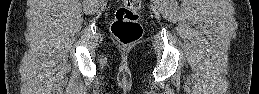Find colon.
I'll list each match as a JSON object with an SVG mask.
<instances>
[{"mask_svg": "<svg viewBox=\"0 0 259 94\" xmlns=\"http://www.w3.org/2000/svg\"><path fill=\"white\" fill-rule=\"evenodd\" d=\"M140 7L141 0H125L124 4L115 11L111 31L123 45L136 42L142 35V27L139 23Z\"/></svg>", "mask_w": 259, "mask_h": 94, "instance_id": "obj_1", "label": "colon"}]
</instances>
